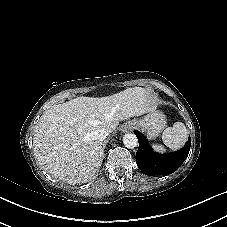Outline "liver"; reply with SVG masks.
<instances>
[{
    "label": "liver",
    "instance_id": "6515ba94",
    "mask_svg": "<svg viewBox=\"0 0 227 227\" xmlns=\"http://www.w3.org/2000/svg\"><path fill=\"white\" fill-rule=\"evenodd\" d=\"M155 102L141 87L111 96L78 97L46 110L35 126V158L45 171L68 183L90 181L103 160L95 131L113 132L120 121L154 111Z\"/></svg>",
    "mask_w": 227,
    "mask_h": 227
}]
</instances>
